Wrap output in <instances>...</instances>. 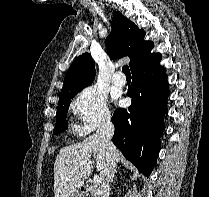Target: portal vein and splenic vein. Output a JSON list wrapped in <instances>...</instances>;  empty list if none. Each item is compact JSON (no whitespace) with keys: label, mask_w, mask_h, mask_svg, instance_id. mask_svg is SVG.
<instances>
[{"label":"portal vein and splenic vein","mask_w":209,"mask_h":197,"mask_svg":"<svg viewBox=\"0 0 209 197\" xmlns=\"http://www.w3.org/2000/svg\"><path fill=\"white\" fill-rule=\"evenodd\" d=\"M93 182L95 184H100L102 182V178L97 176V175H95L94 178H93Z\"/></svg>","instance_id":"1"}]
</instances>
